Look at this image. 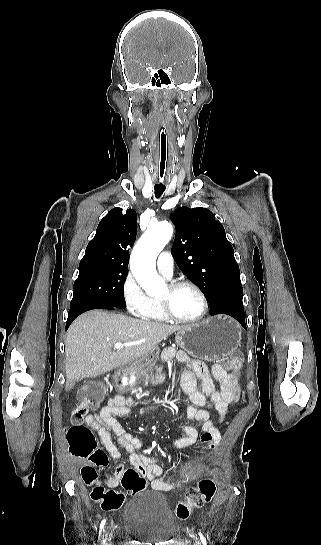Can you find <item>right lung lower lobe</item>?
Masks as SVG:
<instances>
[{
    "mask_svg": "<svg viewBox=\"0 0 321 545\" xmlns=\"http://www.w3.org/2000/svg\"><path fill=\"white\" fill-rule=\"evenodd\" d=\"M95 308H105V309H116V308H126V304H119V305H109V304H79L69 310L68 313V319L66 323V329L70 326V324L73 322V320L82 314L83 312H86L91 309Z\"/></svg>",
    "mask_w": 321,
    "mask_h": 545,
    "instance_id": "obj_1",
    "label": "right lung lower lobe"
}]
</instances>
